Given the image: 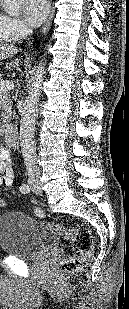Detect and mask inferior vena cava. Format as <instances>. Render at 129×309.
<instances>
[{
    "label": "inferior vena cava",
    "mask_w": 129,
    "mask_h": 309,
    "mask_svg": "<svg viewBox=\"0 0 129 309\" xmlns=\"http://www.w3.org/2000/svg\"><path fill=\"white\" fill-rule=\"evenodd\" d=\"M27 33H32V29H27Z\"/></svg>",
    "instance_id": "1"
}]
</instances>
